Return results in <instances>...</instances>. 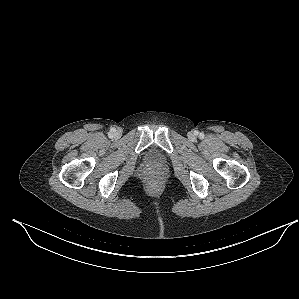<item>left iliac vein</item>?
I'll use <instances>...</instances> for the list:
<instances>
[{"label": "left iliac vein", "instance_id": "4c4485c4", "mask_svg": "<svg viewBox=\"0 0 299 299\" xmlns=\"http://www.w3.org/2000/svg\"><path fill=\"white\" fill-rule=\"evenodd\" d=\"M189 138H194V135L192 133L189 134Z\"/></svg>", "mask_w": 299, "mask_h": 299}]
</instances>
